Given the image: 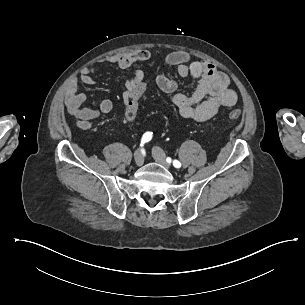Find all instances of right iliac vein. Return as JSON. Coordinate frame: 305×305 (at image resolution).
<instances>
[{
  "instance_id": "right-iliac-vein-1",
  "label": "right iliac vein",
  "mask_w": 305,
  "mask_h": 305,
  "mask_svg": "<svg viewBox=\"0 0 305 305\" xmlns=\"http://www.w3.org/2000/svg\"><path fill=\"white\" fill-rule=\"evenodd\" d=\"M143 162H144V157L141 153V150L138 149L135 152V163L137 166H142Z\"/></svg>"
}]
</instances>
